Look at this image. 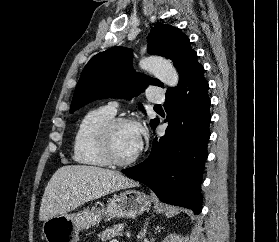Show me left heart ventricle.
<instances>
[{"instance_id":"left-heart-ventricle-1","label":"left heart ventricle","mask_w":279,"mask_h":242,"mask_svg":"<svg viewBox=\"0 0 279 242\" xmlns=\"http://www.w3.org/2000/svg\"><path fill=\"white\" fill-rule=\"evenodd\" d=\"M139 129L133 125H122L113 134V149L117 157L127 159L138 150Z\"/></svg>"}]
</instances>
